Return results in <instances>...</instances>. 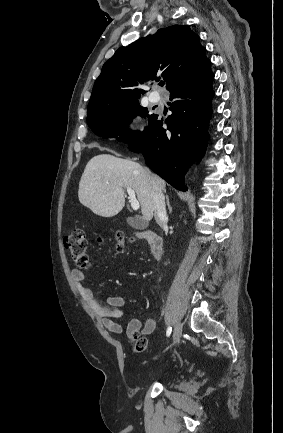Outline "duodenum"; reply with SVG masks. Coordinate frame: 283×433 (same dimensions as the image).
Returning <instances> with one entry per match:
<instances>
[{
	"mask_svg": "<svg viewBox=\"0 0 283 433\" xmlns=\"http://www.w3.org/2000/svg\"><path fill=\"white\" fill-rule=\"evenodd\" d=\"M137 236L146 241L154 258L159 259L162 257L164 243L158 234L153 231H141L137 233Z\"/></svg>",
	"mask_w": 283,
	"mask_h": 433,
	"instance_id": "1",
	"label": "duodenum"
}]
</instances>
